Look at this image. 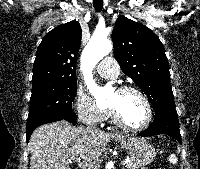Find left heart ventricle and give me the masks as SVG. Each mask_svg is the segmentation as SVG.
<instances>
[{
	"label": "left heart ventricle",
	"mask_w": 200,
	"mask_h": 169,
	"mask_svg": "<svg viewBox=\"0 0 200 169\" xmlns=\"http://www.w3.org/2000/svg\"><path fill=\"white\" fill-rule=\"evenodd\" d=\"M119 114L121 120L129 126L142 125L147 118V108L142 98L133 92L118 93L114 91L107 102Z\"/></svg>",
	"instance_id": "obj_1"
}]
</instances>
